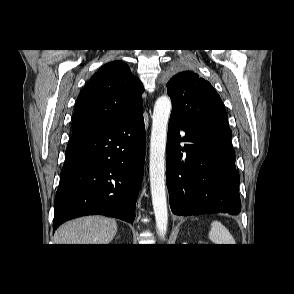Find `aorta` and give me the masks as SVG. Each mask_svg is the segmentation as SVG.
Here are the masks:
<instances>
[{"label":"aorta","instance_id":"aorta-1","mask_svg":"<svg viewBox=\"0 0 294 294\" xmlns=\"http://www.w3.org/2000/svg\"><path fill=\"white\" fill-rule=\"evenodd\" d=\"M171 108L172 104L169 97L161 96L156 100L150 139V187L156 227L161 238L165 237L168 225L165 190V150Z\"/></svg>","mask_w":294,"mask_h":294}]
</instances>
